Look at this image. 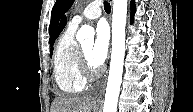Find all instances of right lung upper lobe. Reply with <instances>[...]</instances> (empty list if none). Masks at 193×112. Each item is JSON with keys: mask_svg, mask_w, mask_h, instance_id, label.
Here are the masks:
<instances>
[{"mask_svg": "<svg viewBox=\"0 0 193 112\" xmlns=\"http://www.w3.org/2000/svg\"><path fill=\"white\" fill-rule=\"evenodd\" d=\"M65 25H66V17L64 16L59 26L58 35L62 31V29L65 27Z\"/></svg>", "mask_w": 193, "mask_h": 112, "instance_id": "obj_1", "label": "right lung upper lobe"}]
</instances>
